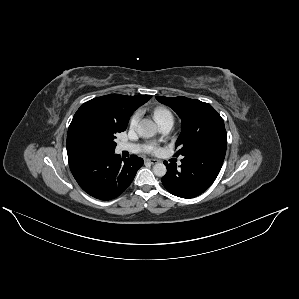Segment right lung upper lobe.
<instances>
[{
	"mask_svg": "<svg viewBox=\"0 0 299 299\" xmlns=\"http://www.w3.org/2000/svg\"><path fill=\"white\" fill-rule=\"evenodd\" d=\"M151 95L125 96L110 94L91 99L77 110L69 126L67 134V153L83 150L75 144L72 137V127L76 121L87 116L109 118L120 124H127L131 114L141 105L146 103Z\"/></svg>",
	"mask_w": 299,
	"mask_h": 299,
	"instance_id": "cb5924a9",
	"label": "right lung upper lobe"
}]
</instances>
